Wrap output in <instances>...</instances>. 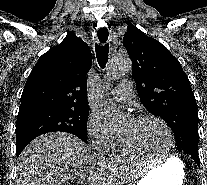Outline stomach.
Here are the masks:
<instances>
[{
    "label": "stomach",
    "mask_w": 207,
    "mask_h": 185,
    "mask_svg": "<svg viewBox=\"0 0 207 185\" xmlns=\"http://www.w3.org/2000/svg\"><path fill=\"white\" fill-rule=\"evenodd\" d=\"M184 178V163L171 157L148 172L137 185H183Z\"/></svg>",
    "instance_id": "0dacf381"
}]
</instances>
